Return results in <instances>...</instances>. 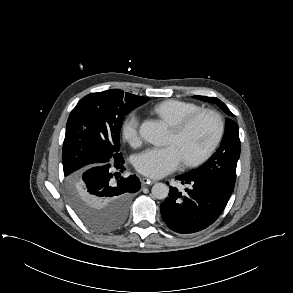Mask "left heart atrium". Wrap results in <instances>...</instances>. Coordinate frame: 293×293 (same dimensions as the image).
<instances>
[{
  "instance_id": "1",
  "label": "left heart atrium",
  "mask_w": 293,
  "mask_h": 293,
  "mask_svg": "<svg viewBox=\"0 0 293 293\" xmlns=\"http://www.w3.org/2000/svg\"><path fill=\"white\" fill-rule=\"evenodd\" d=\"M182 161L178 148L168 144L163 147H150L139 153L135 158V167L146 176L161 178L176 170Z\"/></svg>"
}]
</instances>
